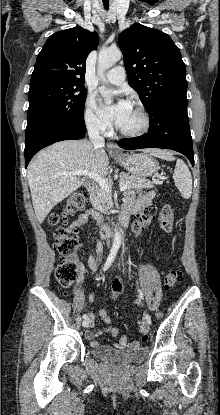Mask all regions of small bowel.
Wrapping results in <instances>:
<instances>
[{"instance_id": "obj_1", "label": "small bowel", "mask_w": 220, "mask_h": 415, "mask_svg": "<svg viewBox=\"0 0 220 415\" xmlns=\"http://www.w3.org/2000/svg\"><path fill=\"white\" fill-rule=\"evenodd\" d=\"M154 199V193L152 191L143 192L142 195L134 199L133 192H127L125 196V202L123 206L122 213L129 212L130 214L136 215L138 218L134 221L131 227V232L133 235L137 236L140 235L149 225L150 221L153 217H144L142 215L143 209L151 205ZM90 218H94L97 222L102 223L103 218L102 215L96 211L95 209L89 208L83 213H81L71 224L68 228L69 231L73 233H77L80 228H82ZM103 255V245L99 239H95V247L94 253L88 257V266L90 271L96 270L98 267ZM124 281L121 279L115 280L112 284V291L113 293H121L124 289ZM89 302L92 303L94 301V292H90L88 296ZM100 318L105 321L106 323H110V318L104 310H100L98 312ZM91 319L93 320V315H90ZM111 336H118L120 335L119 340L114 344L115 349H136L139 348L142 342L146 341L145 335L148 333L147 325L144 321L140 322V333L142 335L140 340H135L132 342L128 341L126 335L121 334V331L118 328H111L108 327L106 329ZM101 332L95 331H86L85 337L88 340H93L96 336H98ZM91 345L93 347H99L100 344L96 341H92Z\"/></svg>"}]
</instances>
